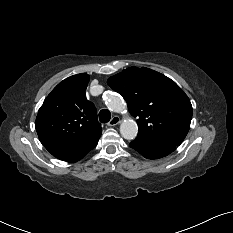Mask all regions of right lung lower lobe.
<instances>
[{
    "instance_id": "1",
    "label": "right lung lower lobe",
    "mask_w": 233,
    "mask_h": 233,
    "mask_svg": "<svg viewBox=\"0 0 233 233\" xmlns=\"http://www.w3.org/2000/svg\"><path fill=\"white\" fill-rule=\"evenodd\" d=\"M100 136L92 141L78 146H49L46 149L56 158L67 161L76 162L82 159L89 151L96 147Z\"/></svg>"
}]
</instances>
